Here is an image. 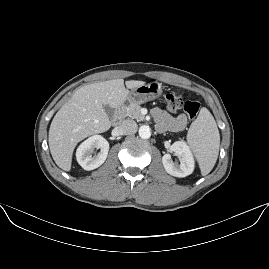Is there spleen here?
Wrapping results in <instances>:
<instances>
[{"label": "spleen", "instance_id": "3e777b00", "mask_svg": "<svg viewBox=\"0 0 269 269\" xmlns=\"http://www.w3.org/2000/svg\"><path fill=\"white\" fill-rule=\"evenodd\" d=\"M188 142L195 152L201 172L207 175L216 163L220 136L216 122L207 108H202L190 126Z\"/></svg>", "mask_w": 269, "mask_h": 269}]
</instances>
